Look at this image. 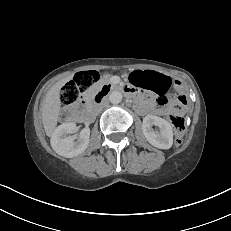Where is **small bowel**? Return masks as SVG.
<instances>
[{"label": "small bowel", "instance_id": "c3829d8e", "mask_svg": "<svg viewBox=\"0 0 231 231\" xmlns=\"http://www.w3.org/2000/svg\"><path fill=\"white\" fill-rule=\"evenodd\" d=\"M140 75L144 77L143 84L141 86L135 85V83L132 81V75L130 77L131 83L136 87H142L145 89H148L155 95H163L169 92L172 88H177V82L174 81L170 76L157 72L152 70H144V71H136ZM133 93H136V89L134 88H128ZM155 105V97H150L147 101V105H144V107L140 108V111L146 110L149 106ZM166 108L159 107L156 108L157 113H163L165 112ZM171 110L173 112L182 113L184 110L178 107H171Z\"/></svg>", "mask_w": 231, "mask_h": 231}]
</instances>
